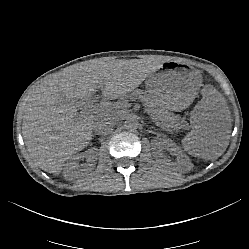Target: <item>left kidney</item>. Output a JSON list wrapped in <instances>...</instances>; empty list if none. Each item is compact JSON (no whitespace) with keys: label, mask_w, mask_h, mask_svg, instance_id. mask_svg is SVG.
Returning a JSON list of instances; mask_svg holds the SVG:
<instances>
[{"label":"left kidney","mask_w":249,"mask_h":249,"mask_svg":"<svg viewBox=\"0 0 249 249\" xmlns=\"http://www.w3.org/2000/svg\"><path fill=\"white\" fill-rule=\"evenodd\" d=\"M158 141L164 142L163 140H158Z\"/></svg>","instance_id":"1"}]
</instances>
